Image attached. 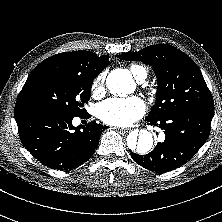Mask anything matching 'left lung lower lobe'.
Masks as SVG:
<instances>
[{"mask_svg": "<svg viewBox=\"0 0 222 222\" xmlns=\"http://www.w3.org/2000/svg\"><path fill=\"white\" fill-rule=\"evenodd\" d=\"M214 111L189 108L160 120H148L164 130V142L147 155L131 153L132 159L144 168L158 173L176 169L190 160L206 142Z\"/></svg>", "mask_w": 222, "mask_h": 222, "instance_id": "0a47b994", "label": "left lung lower lobe"}]
</instances>
